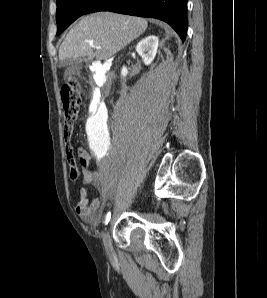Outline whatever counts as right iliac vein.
<instances>
[{"instance_id":"right-iliac-vein-1","label":"right iliac vein","mask_w":267,"mask_h":298,"mask_svg":"<svg viewBox=\"0 0 267 298\" xmlns=\"http://www.w3.org/2000/svg\"><path fill=\"white\" fill-rule=\"evenodd\" d=\"M102 239H103V244H104L107 255L112 256L113 248H112V242H111V237H110L108 228L105 229V232L102 235Z\"/></svg>"}]
</instances>
